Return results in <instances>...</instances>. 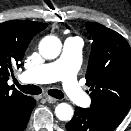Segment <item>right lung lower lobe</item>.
Masks as SVG:
<instances>
[{
	"label": "right lung lower lobe",
	"mask_w": 131,
	"mask_h": 131,
	"mask_svg": "<svg viewBox=\"0 0 131 131\" xmlns=\"http://www.w3.org/2000/svg\"><path fill=\"white\" fill-rule=\"evenodd\" d=\"M35 105H36V101L33 98H31L30 103L28 104L20 123L18 124V126L14 131H23L26 128L31 112L35 107Z\"/></svg>",
	"instance_id": "obj_1"
}]
</instances>
